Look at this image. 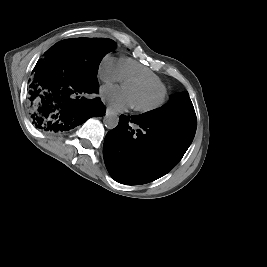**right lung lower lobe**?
<instances>
[{
	"label": "right lung lower lobe",
	"instance_id": "right-lung-lower-lobe-1",
	"mask_svg": "<svg viewBox=\"0 0 267 267\" xmlns=\"http://www.w3.org/2000/svg\"><path fill=\"white\" fill-rule=\"evenodd\" d=\"M33 72L28 106L36 128L66 132L91 117L105 114V107L99 98H80L81 94L97 93L99 83L85 84L60 63L49 59H40Z\"/></svg>",
	"mask_w": 267,
	"mask_h": 267
}]
</instances>
